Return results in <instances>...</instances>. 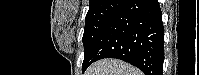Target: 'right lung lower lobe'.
Instances as JSON below:
<instances>
[{
  "label": "right lung lower lobe",
  "mask_w": 199,
  "mask_h": 75,
  "mask_svg": "<svg viewBox=\"0 0 199 75\" xmlns=\"http://www.w3.org/2000/svg\"><path fill=\"white\" fill-rule=\"evenodd\" d=\"M164 28L157 0H128L110 22L90 54L93 62L102 58L126 61L145 75H163Z\"/></svg>",
  "instance_id": "right-lung-lower-lobe-1"
}]
</instances>
